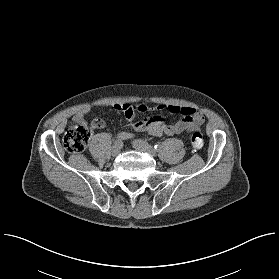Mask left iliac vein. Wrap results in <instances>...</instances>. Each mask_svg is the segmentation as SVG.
Wrapping results in <instances>:
<instances>
[{
    "label": "left iliac vein",
    "mask_w": 279,
    "mask_h": 279,
    "mask_svg": "<svg viewBox=\"0 0 279 279\" xmlns=\"http://www.w3.org/2000/svg\"><path fill=\"white\" fill-rule=\"evenodd\" d=\"M133 146L136 150L146 152L152 157H155L157 155V152L155 151V149L151 145L147 144L146 142H144L141 139L134 140Z\"/></svg>",
    "instance_id": "obj_1"
}]
</instances>
